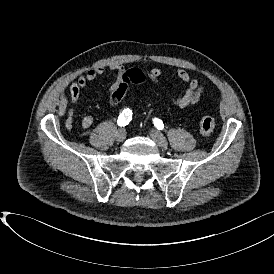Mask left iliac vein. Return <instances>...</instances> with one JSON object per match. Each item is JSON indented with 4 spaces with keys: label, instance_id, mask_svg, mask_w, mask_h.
Listing matches in <instances>:
<instances>
[{
    "label": "left iliac vein",
    "instance_id": "left-iliac-vein-1",
    "mask_svg": "<svg viewBox=\"0 0 274 274\" xmlns=\"http://www.w3.org/2000/svg\"><path fill=\"white\" fill-rule=\"evenodd\" d=\"M150 136L159 147L166 148L168 146L166 138L160 131L152 129L150 132Z\"/></svg>",
    "mask_w": 274,
    "mask_h": 274
}]
</instances>
